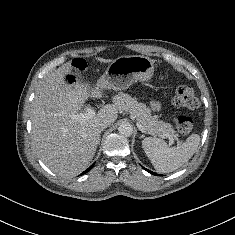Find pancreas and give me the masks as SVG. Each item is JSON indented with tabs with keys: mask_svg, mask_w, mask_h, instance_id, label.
<instances>
[{
	"mask_svg": "<svg viewBox=\"0 0 235 235\" xmlns=\"http://www.w3.org/2000/svg\"><path fill=\"white\" fill-rule=\"evenodd\" d=\"M113 102L116 108L130 113L136 118L149 134L164 137L166 134L175 133L171 124L159 120L157 115L152 116L150 109L145 104L139 103L130 95L119 93L113 97Z\"/></svg>",
	"mask_w": 235,
	"mask_h": 235,
	"instance_id": "pancreas-1",
	"label": "pancreas"
}]
</instances>
